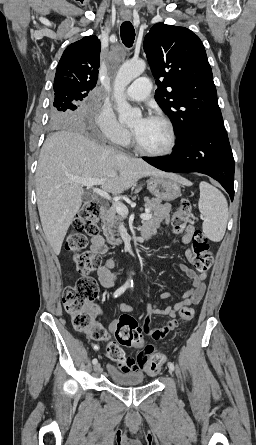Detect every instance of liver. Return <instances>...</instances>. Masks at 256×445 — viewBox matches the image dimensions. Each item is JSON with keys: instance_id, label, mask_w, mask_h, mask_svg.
I'll list each match as a JSON object with an SVG mask.
<instances>
[{"instance_id": "obj_1", "label": "liver", "mask_w": 256, "mask_h": 445, "mask_svg": "<svg viewBox=\"0 0 256 445\" xmlns=\"http://www.w3.org/2000/svg\"><path fill=\"white\" fill-rule=\"evenodd\" d=\"M146 176H170L141 159L100 145L80 132L62 130L44 142L36 170V196L47 242L58 255L74 216L82 204V184L72 177L105 179L103 188L120 194Z\"/></svg>"}]
</instances>
